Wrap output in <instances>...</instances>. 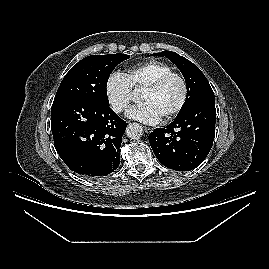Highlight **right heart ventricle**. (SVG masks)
Segmentation results:
<instances>
[{
    "label": "right heart ventricle",
    "instance_id": "obj_1",
    "mask_svg": "<svg viewBox=\"0 0 269 269\" xmlns=\"http://www.w3.org/2000/svg\"><path fill=\"white\" fill-rule=\"evenodd\" d=\"M172 67L162 61L148 60L127 70L126 78L133 88H144L161 75L171 72Z\"/></svg>",
    "mask_w": 269,
    "mask_h": 269
}]
</instances>
